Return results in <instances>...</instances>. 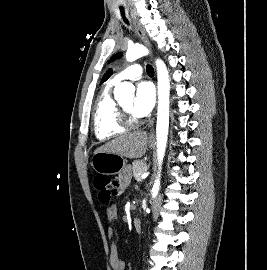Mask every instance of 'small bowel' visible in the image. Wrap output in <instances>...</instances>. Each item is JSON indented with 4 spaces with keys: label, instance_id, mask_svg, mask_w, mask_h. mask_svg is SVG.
I'll return each instance as SVG.
<instances>
[{
    "label": "small bowel",
    "instance_id": "small-bowel-1",
    "mask_svg": "<svg viewBox=\"0 0 267 270\" xmlns=\"http://www.w3.org/2000/svg\"><path fill=\"white\" fill-rule=\"evenodd\" d=\"M131 179V173L129 169H125L119 175V182L121 188L124 189L128 186ZM118 216V210L116 206H110L106 209V217L108 221H114ZM108 238L110 240V266L112 270H125L124 262L118 256V249L115 242V235L112 229L107 232Z\"/></svg>",
    "mask_w": 267,
    "mask_h": 270
}]
</instances>
